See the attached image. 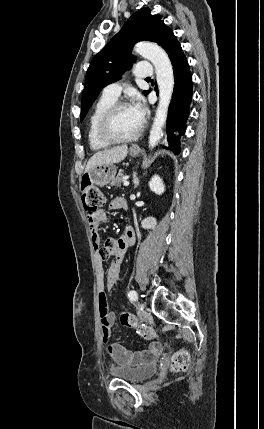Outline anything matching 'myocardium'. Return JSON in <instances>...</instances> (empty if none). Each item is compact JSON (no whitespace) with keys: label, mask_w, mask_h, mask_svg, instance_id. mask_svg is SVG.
<instances>
[{"label":"myocardium","mask_w":264,"mask_h":429,"mask_svg":"<svg viewBox=\"0 0 264 429\" xmlns=\"http://www.w3.org/2000/svg\"><path fill=\"white\" fill-rule=\"evenodd\" d=\"M125 107H130L127 102L117 101L114 104H112L101 117L98 123V135L103 141L110 144L132 142L137 140L143 133L144 131L143 122L141 123L139 129L129 137H118L111 132L110 126L114 116L120 109H123Z\"/></svg>","instance_id":"obj_1"}]
</instances>
